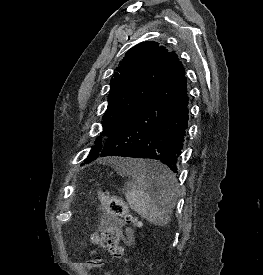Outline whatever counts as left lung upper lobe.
I'll return each mask as SVG.
<instances>
[{
    "label": "left lung upper lobe",
    "mask_w": 263,
    "mask_h": 275,
    "mask_svg": "<svg viewBox=\"0 0 263 275\" xmlns=\"http://www.w3.org/2000/svg\"><path fill=\"white\" fill-rule=\"evenodd\" d=\"M175 56L174 52L154 41L141 42L127 51L110 81L103 130L85 164L99 155L105 140L115 134L136 111L161 81Z\"/></svg>",
    "instance_id": "5c2ea615"
}]
</instances>
